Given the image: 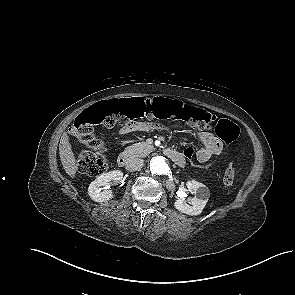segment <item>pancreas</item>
Instances as JSON below:
<instances>
[{
  "instance_id": "pancreas-1",
  "label": "pancreas",
  "mask_w": 295,
  "mask_h": 295,
  "mask_svg": "<svg viewBox=\"0 0 295 295\" xmlns=\"http://www.w3.org/2000/svg\"><path fill=\"white\" fill-rule=\"evenodd\" d=\"M154 150V146L146 142L135 143L125 148V153L133 157H145Z\"/></svg>"
}]
</instances>
